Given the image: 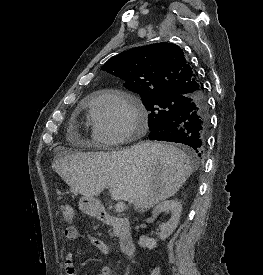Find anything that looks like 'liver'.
I'll return each mask as SVG.
<instances>
[{"mask_svg": "<svg viewBox=\"0 0 263 275\" xmlns=\"http://www.w3.org/2000/svg\"><path fill=\"white\" fill-rule=\"evenodd\" d=\"M52 169L88 198L99 196L108 184L113 200L145 211L174 196L196 166L172 145L140 142L121 151L60 153Z\"/></svg>", "mask_w": 263, "mask_h": 275, "instance_id": "6515ba94", "label": "liver"}]
</instances>
